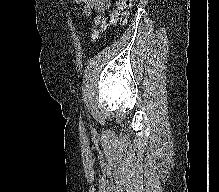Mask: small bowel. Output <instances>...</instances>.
I'll return each instance as SVG.
<instances>
[{
  "instance_id": "small-bowel-1",
  "label": "small bowel",
  "mask_w": 219,
  "mask_h": 192,
  "mask_svg": "<svg viewBox=\"0 0 219 192\" xmlns=\"http://www.w3.org/2000/svg\"><path fill=\"white\" fill-rule=\"evenodd\" d=\"M81 4V12L84 15H90L93 12H98L102 15L111 7L109 0H74Z\"/></svg>"
}]
</instances>
